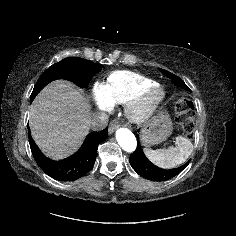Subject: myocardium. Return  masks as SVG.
<instances>
[{
	"instance_id": "obj_1",
	"label": "myocardium",
	"mask_w": 236,
	"mask_h": 236,
	"mask_svg": "<svg viewBox=\"0 0 236 236\" xmlns=\"http://www.w3.org/2000/svg\"><path fill=\"white\" fill-rule=\"evenodd\" d=\"M166 96L164 87L158 83L141 90L125 104V115L133 124L147 122Z\"/></svg>"
}]
</instances>
